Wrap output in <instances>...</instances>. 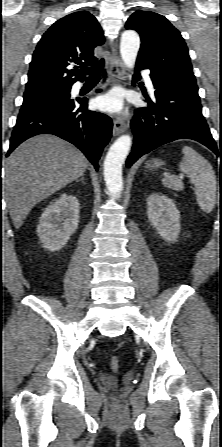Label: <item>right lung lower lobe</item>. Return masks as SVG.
Masks as SVG:
<instances>
[{"mask_svg": "<svg viewBox=\"0 0 222 447\" xmlns=\"http://www.w3.org/2000/svg\"><path fill=\"white\" fill-rule=\"evenodd\" d=\"M87 106L86 98L68 99L33 112L19 114L7 156L32 136L54 134L77 146L98 170V161L110 140L113 124L110 117L89 111Z\"/></svg>", "mask_w": 222, "mask_h": 447, "instance_id": "right-lung-lower-lobe-1", "label": "right lung lower lobe"}]
</instances>
